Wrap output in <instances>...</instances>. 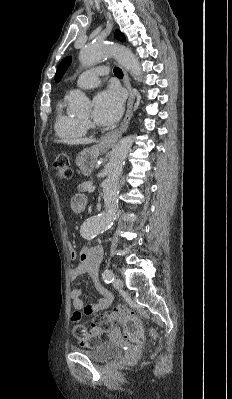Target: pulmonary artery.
Wrapping results in <instances>:
<instances>
[{
  "label": "pulmonary artery",
  "instance_id": "e3ab8cb5",
  "mask_svg": "<svg viewBox=\"0 0 232 399\" xmlns=\"http://www.w3.org/2000/svg\"><path fill=\"white\" fill-rule=\"evenodd\" d=\"M108 74L109 71L107 69L103 71L100 69H82L81 73H78L77 77H75L74 82L86 87L87 90H96L98 88L97 84H102L104 76ZM100 75L101 77H99Z\"/></svg>",
  "mask_w": 232,
  "mask_h": 399
}]
</instances>
